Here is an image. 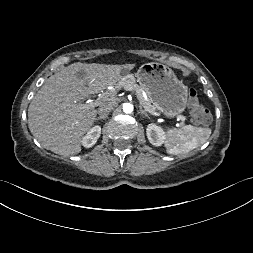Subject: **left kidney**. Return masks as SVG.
<instances>
[{
	"mask_svg": "<svg viewBox=\"0 0 253 253\" xmlns=\"http://www.w3.org/2000/svg\"><path fill=\"white\" fill-rule=\"evenodd\" d=\"M147 138L154 146H161L166 139V135L161 127L151 123L146 128Z\"/></svg>",
	"mask_w": 253,
	"mask_h": 253,
	"instance_id": "obj_1",
	"label": "left kidney"
}]
</instances>
